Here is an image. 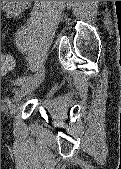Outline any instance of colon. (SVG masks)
Here are the masks:
<instances>
[{"label":"colon","instance_id":"obj_1","mask_svg":"<svg viewBox=\"0 0 121 169\" xmlns=\"http://www.w3.org/2000/svg\"><path fill=\"white\" fill-rule=\"evenodd\" d=\"M15 65L14 57L9 52H4L1 56V73L11 70Z\"/></svg>","mask_w":121,"mask_h":169}]
</instances>
